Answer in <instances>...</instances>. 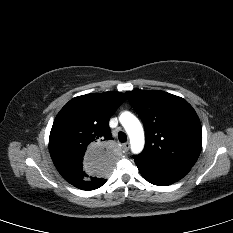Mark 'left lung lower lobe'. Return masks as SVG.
I'll return each instance as SVG.
<instances>
[{
    "label": "left lung lower lobe",
    "mask_w": 233,
    "mask_h": 233,
    "mask_svg": "<svg viewBox=\"0 0 233 233\" xmlns=\"http://www.w3.org/2000/svg\"><path fill=\"white\" fill-rule=\"evenodd\" d=\"M141 175L150 183L167 186L182 179L191 169L186 165H159L134 157Z\"/></svg>",
    "instance_id": "obj_1"
}]
</instances>
